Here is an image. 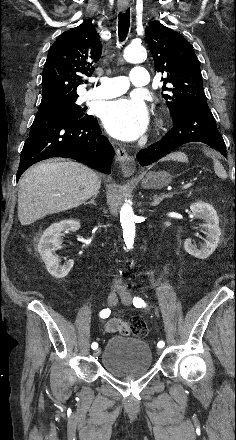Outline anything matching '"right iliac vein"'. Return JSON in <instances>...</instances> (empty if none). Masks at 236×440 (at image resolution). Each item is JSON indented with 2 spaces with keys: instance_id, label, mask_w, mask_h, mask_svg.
I'll return each instance as SVG.
<instances>
[{
  "instance_id": "right-iliac-vein-1",
  "label": "right iliac vein",
  "mask_w": 236,
  "mask_h": 440,
  "mask_svg": "<svg viewBox=\"0 0 236 440\" xmlns=\"http://www.w3.org/2000/svg\"><path fill=\"white\" fill-rule=\"evenodd\" d=\"M118 302V296L115 292H111L109 293L108 297H107V303L109 306L113 307L117 304ZM100 354V349H97L94 352V356H98Z\"/></svg>"
}]
</instances>
